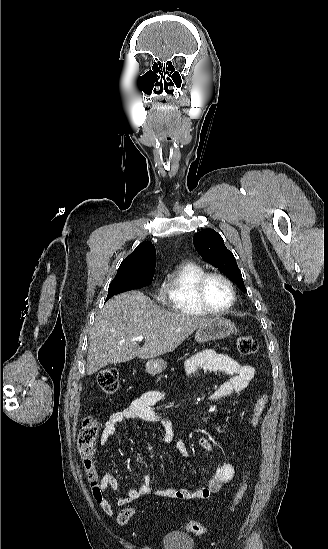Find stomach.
I'll return each mask as SVG.
<instances>
[{
  "instance_id": "0dacf381",
  "label": "stomach",
  "mask_w": 328,
  "mask_h": 549,
  "mask_svg": "<svg viewBox=\"0 0 328 549\" xmlns=\"http://www.w3.org/2000/svg\"><path fill=\"white\" fill-rule=\"evenodd\" d=\"M233 333H237L235 323H232L230 319H224V317H215V319H209L206 325L197 329L195 341L197 343H207V341H215V339H225ZM166 367L167 363L163 359H149L145 365V369L150 375H159Z\"/></svg>"
}]
</instances>
